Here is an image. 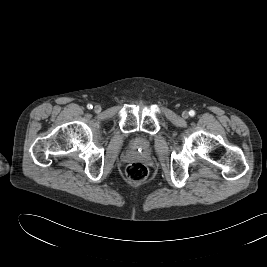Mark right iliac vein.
Here are the masks:
<instances>
[{"mask_svg": "<svg viewBox=\"0 0 267 267\" xmlns=\"http://www.w3.org/2000/svg\"><path fill=\"white\" fill-rule=\"evenodd\" d=\"M94 111H95L96 113H99V112L101 111V106H100V105H95V107H94Z\"/></svg>", "mask_w": 267, "mask_h": 267, "instance_id": "obj_1", "label": "right iliac vein"}]
</instances>
